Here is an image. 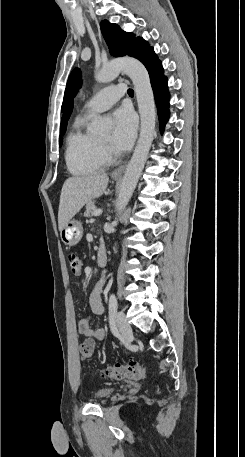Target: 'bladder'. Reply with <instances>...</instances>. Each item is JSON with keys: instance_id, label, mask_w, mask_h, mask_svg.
Listing matches in <instances>:
<instances>
[{"instance_id": "1", "label": "bladder", "mask_w": 245, "mask_h": 457, "mask_svg": "<svg viewBox=\"0 0 245 457\" xmlns=\"http://www.w3.org/2000/svg\"><path fill=\"white\" fill-rule=\"evenodd\" d=\"M110 395H111V389L110 390H99L97 392V398L100 400L106 399Z\"/></svg>"}]
</instances>
